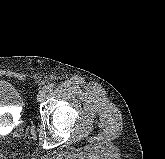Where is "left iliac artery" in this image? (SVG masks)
I'll use <instances>...</instances> for the list:
<instances>
[{
	"label": "left iliac artery",
	"mask_w": 165,
	"mask_h": 159,
	"mask_svg": "<svg viewBox=\"0 0 165 159\" xmlns=\"http://www.w3.org/2000/svg\"><path fill=\"white\" fill-rule=\"evenodd\" d=\"M53 88H54V84H52V83L45 86V89H46L47 92L53 90Z\"/></svg>",
	"instance_id": "left-iliac-artery-1"
}]
</instances>
